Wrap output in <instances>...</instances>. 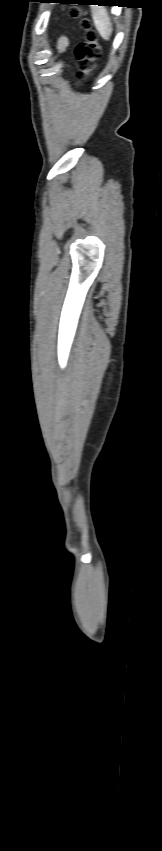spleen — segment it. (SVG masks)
I'll return each mask as SVG.
<instances>
[{"label": "spleen", "instance_id": "obj_1", "mask_svg": "<svg viewBox=\"0 0 162 851\" xmlns=\"http://www.w3.org/2000/svg\"><path fill=\"white\" fill-rule=\"evenodd\" d=\"M91 12L97 31L101 37L105 40H109L112 35L113 27L107 10L102 7L93 6Z\"/></svg>", "mask_w": 162, "mask_h": 851}]
</instances>
